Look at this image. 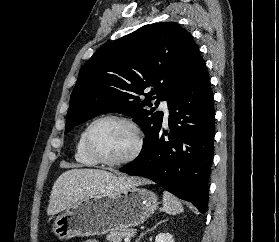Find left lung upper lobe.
Masks as SVG:
<instances>
[{
  "mask_svg": "<svg viewBox=\"0 0 279 242\" xmlns=\"http://www.w3.org/2000/svg\"><path fill=\"white\" fill-rule=\"evenodd\" d=\"M198 53L191 34L175 22L148 25L103 46L79 72L65 132L103 113H123L142 128L145 153L163 119L147 107L167 100L170 109Z\"/></svg>",
  "mask_w": 279,
  "mask_h": 242,
  "instance_id": "left-lung-upper-lobe-1",
  "label": "left lung upper lobe"
}]
</instances>
